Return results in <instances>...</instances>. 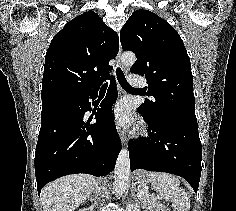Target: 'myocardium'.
Instances as JSON below:
<instances>
[{
	"label": "myocardium",
	"mask_w": 236,
	"mask_h": 211,
	"mask_svg": "<svg viewBox=\"0 0 236 211\" xmlns=\"http://www.w3.org/2000/svg\"><path fill=\"white\" fill-rule=\"evenodd\" d=\"M138 134L141 135V136L146 135V128L145 127L139 128Z\"/></svg>",
	"instance_id": "f54148a6"
}]
</instances>
